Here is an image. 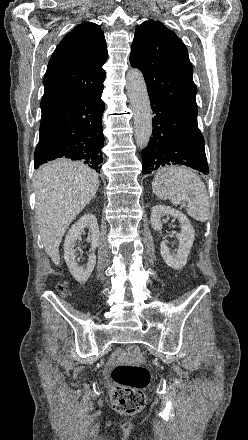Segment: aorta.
<instances>
[{"instance_id": "762f6f07", "label": "aorta", "mask_w": 248, "mask_h": 440, "mask_svg": "<svg viewBox=\"0 0 248 440\" xmlns=\"http://www.w3.org/2000/svg\"><path fill=\"white\" fill-rule=\"evenodd\" d=\"M126 89L134 115L136 144L140 148H145L152 135V111L146 83L138 69L128 71Z\"/></svg>"}]
</instances>
